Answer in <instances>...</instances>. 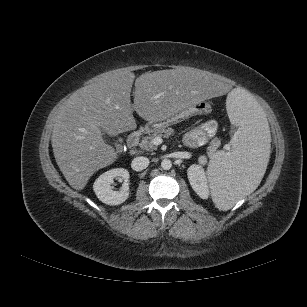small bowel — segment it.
Here are the masks:
<instances>
[{
  "mask_svg": "<svg viewBox=\"0 0 307 307\" xmlns=\"http://www.w3.org/2000/svg\"><path fill=\"white\" fill-rule=\"evenodd\" d=\"M217 129L218 124L216 121L210 120L204 122L185 135L184 143L189 147L202 146L216 134Z\"/></svg>",
  "mask_w": 307,
  "mask_h": 307,
  "instance_id": "1",
  "label": "small bowel"
}]
</instances>
